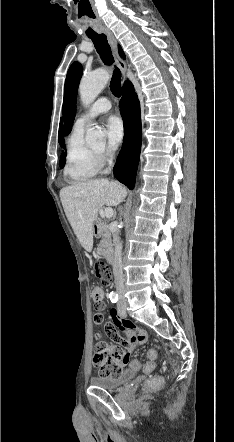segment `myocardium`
I'll list each match as a JSON object with an SVG mask.
<instances>
[{
    "instance_id": "obj_1",
    "label": "myocardium",
    "mask_w": 234,
    "mask_h": 442,
    "mask_svg": "<svg viewBox=\"0 0 234 442\" xmlns=\"http://www.w3.org/2000/svg\"><path fill=\"white\" fill-rule=\"evenodd\" d=\"M93 152H94V155L96 157V160H97V163H98L99 167H101L104 164L103 157H102V152L101 151H96V150H93Z\"/></svg>"
}]
</instances>
